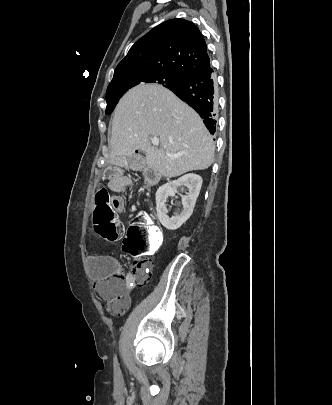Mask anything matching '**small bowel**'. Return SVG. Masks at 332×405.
I'll use <instances>...</instances> for the list:
<instances>
[{
  "instance_id": "1",
  "label": "small bowel",
  "mask_w": 332,
  "mask_h": 405,
  "mask_svg": "<svg viewBox=\"0 0 332 405\" xmlns=\"http://www.w3.org/2000/svg\"><path fill=\"white\" fill-rule=\"evenodd\" d=\"M103 173L104 177H122L120 180H111L109 187L115 191L111 194L112 210L116 211L118 215H124L126 213V194L121 191L129 184V179L126 177V168H104ZM86 259L91 273L99 280L120 268L118 260L111 255L88 254Z\"/></svg>"
}]
</instances>
